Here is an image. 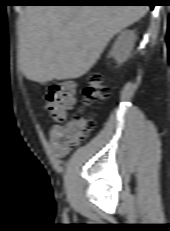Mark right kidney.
Returning <instances> with one entry per match:
<instances>
[{"label":"right kidney","instance_id":"right-kidney-1","mask_svg":"<svg viewBox=\"0 0 170 231\" xmlns=\"http://www.w3.org/2000/svg\"><path fill=\"white\" fill-rule=\"evenodd\" d=\"M135 40V31H123L114 43L109 56L113 57L119 64L125 62L130 56Z\"/></svg>","mask_w":170,"mask_h":231}]
</instances>
